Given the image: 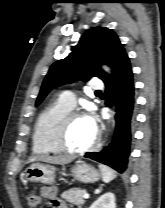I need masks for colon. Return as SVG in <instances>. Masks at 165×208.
Here are the masks:
<instances>
[{"label":"colon","instance_id":"5ec220e1","mask_svg":"<svg viewBox=\"0 0 165 208\" xmlns=\"http://www.w3.org/2000/svg\"><path fill=\"white\" fill-rule=\"evenodd\" d=\"M26 201L29 208H36L40 203L39 196L35 193H28L26 195Z\"/></svg>","mask_w":165,"mask_h":208}]
</instances>
